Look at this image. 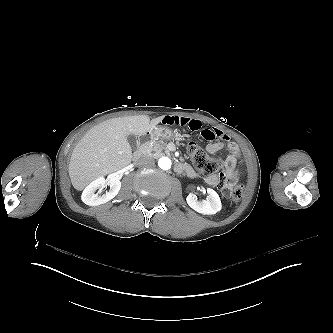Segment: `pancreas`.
<instances>
[{"instance_id": "cf45deb5", "label": "pancreas", "mask_w": 333, "mask_h": 333, "mask_svg": "<svg viewBox=\"0 0 333 333\" xmlns=\"http://www.w3.org/2000/svg\"><path fill=\"white\" fill-rule=\"evenodd\" d=\"M165 144V141L157 140L151 146L143 148L142 153L145 156H151L153 158H159L164 154H170V151Z\"/></svg>"}]
</instances>
